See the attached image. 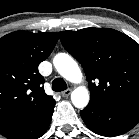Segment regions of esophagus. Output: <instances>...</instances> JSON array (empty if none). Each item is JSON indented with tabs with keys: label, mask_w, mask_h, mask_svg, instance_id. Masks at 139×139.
<instances>
[{
	"label": "esophagus",
	"mask_w": 139,
	"mask_h": 139,
	"mask_svg": "<svg viewBox=\"0 0 139 139\" xmlns=\"http://www.w3.org/2000/svg\"><path fill=\"white\" fill-rule=\"evenodd\" d=\"M70 94H71V89H67V90H64L63 92H61V95L63 97H68Z\"/></svg>",
	"instance_id": "34e87169"
}]
</instances>
